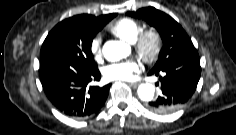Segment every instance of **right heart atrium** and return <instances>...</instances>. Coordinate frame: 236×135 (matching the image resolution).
Instances as JSON below:
<instances>
[{
  "instance_id": "obj_1",
  "label": "right heart atrium",
  "mask_w": 236,
  "mask_h": 135,
  "mask_svg": "<svg viewBox=\"0 0 236 135\" xmlns=\"http://www.w3.org/2000/svg\"><path fill=\"white\" fill-rule=\"evenodd\" d=\"M90 49L95 57H99L102 54V36L100 34L95 35L90 43Z\"/></svg>"
}]
</instances>
